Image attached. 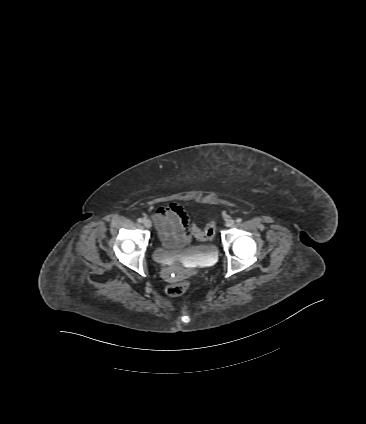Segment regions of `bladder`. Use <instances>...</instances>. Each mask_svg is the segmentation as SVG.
I'll return each mask as SVG.
<instances>
[{"instance_id":"31cf9c89","label":"bladder","mask_w":366,"mask_h":424,"mask_svg":"<svg viewBox=\"0 0 366 424\" xmlns=\"http://www.w3.org/2000/svg\"><path fill=\"white\" fill-rule=\"evenodd\" d=\"M216 254V246L212 244H202L184 250H168L162 246H157L153 250L152 256L156 262L165 264L180 257H191L197 260H203L213 257Z\"/></svg>"}]
</instances>
